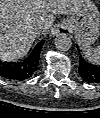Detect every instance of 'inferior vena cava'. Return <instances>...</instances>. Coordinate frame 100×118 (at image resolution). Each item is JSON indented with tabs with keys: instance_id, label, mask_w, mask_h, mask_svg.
I'll list each match as a JSON object with an SVG mask.
<instances>
[{
	"instance_id": "obj_1",
	"label": "inferior vena cava",
	"mask_w": 100,
	"mask_h": 118,
	"mask_svg": "<svg viewBox=\"0 0 100 118\" xmlns=\"http://www.w3.org/2000/svg\"><path fill=\"white\" fill-rule=\"evenodd\" d=\"M50 27V24L48 22L46 23H39L35 26V31L38 33V34H44L48 31Z\"/></svg>"
}]
</instances>
